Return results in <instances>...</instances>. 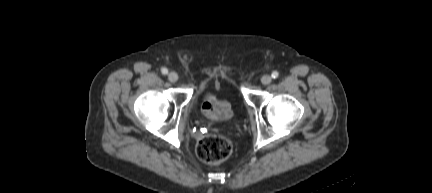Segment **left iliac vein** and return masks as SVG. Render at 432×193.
<instances>
[{
	"instance_id": "obj_1",
	"label": "left iliac vein",
	"mask_w": 432,
	"mask_h": 193,
	"mask_svg": "<svg viewBox=\"0 0 432 193\" xmlns=\"http://www.w3.org/2000/svg\"><path fill=\"white\" fill-rule=\"evenodd\" d=\"M261 82L264 85H268V84H270L272 82V77L270 75H264L261 78Z\"/></svg>"
}]
</instances>
